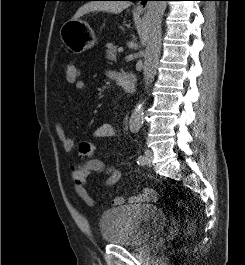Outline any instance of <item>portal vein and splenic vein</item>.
<instances>
[{"instance_id": "18ae733b", "label": "portal vein and splenic vein", "mask_w": 245, "mask_h": 265, "mask_svg": "<svg viewBox=\"0 0 245 265\" xmlns=\"http://www.w3.org/2000/svg\"><path fill=\"white\" fill-rule=\"evenodd\" d=\"M118 52L122 53L123 52V48L122 47L118 48Z\"/></svg>"}]
</instances>
